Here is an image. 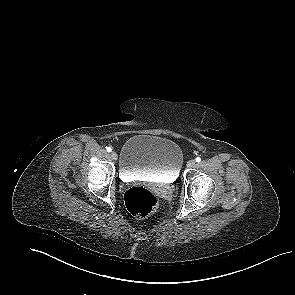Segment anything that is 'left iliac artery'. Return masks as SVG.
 I'll use <instances>...</instances> for the list:
<instances>
[{"instance_id": "1", "label": "left iliac artery", "mask_w": 295, "mask_h": 295, "mask_svg": "<svg viewBox=\"0 0 295 295\" xmlns=\"http://www.w3.org/2000/svg\"><path fill=\"white\" fill-rule=\"evenodd\" d=\"M195 160H196V162L199 163L201 161V158L200 157H197Z\"/></svg>"}]
</instances>
